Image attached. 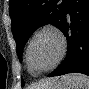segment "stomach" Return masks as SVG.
Returning a JSON list of instances; mask_svg holds the SVG:
<instances>
[{"mask_svg": "<svg viewBox=\"0 0 89 89\" xmlns=\"http://www.w3.org/2000/svg\"><path fill=\"white\" fill-rule=\"evenodd\" d=\"M46 89H68L66 83L62 80L55 82L54 84L48 86Z\"/></svg>", "mask_w": 89, "mask_h": 89, "instance_id": "1", "label": "stomach"}]
</instances>
